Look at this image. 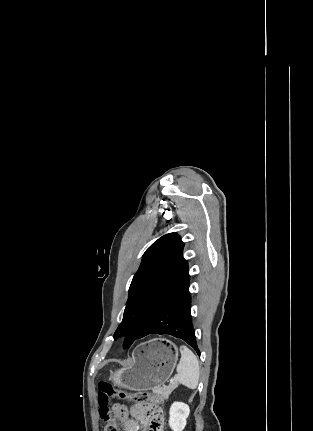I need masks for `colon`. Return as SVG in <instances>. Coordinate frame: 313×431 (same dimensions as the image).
<instances>
[{"label": "colon", "instance_id": "1", "mask_svg": "<svg viewBox=\"0 0 313 431\" xmlns=\"http://www.w3.org/2000/svg\"><path fill=\"white\" fill-rule=\"evenodd\" d=\"M237 122H242V120L240 118H236V123ZM111 398H120L145 405L148 413L153 418L152 431H162L161 397L153 395L147 391L129 393L115 388L107 381H101L98 384V403L100 416L105 422L103 431H119L113 414L110 412L108 407Z\"/></svg>", "mask_w": 313, "mask_h": 431}]
</instances>
